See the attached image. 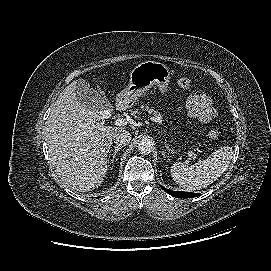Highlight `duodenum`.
Wrapping results in <instances>:
<instances>
[{
  "instance_id": "410a0bca",
  "label": "duodenum",
  "mask_w": 271,
  "mask_h": 271,
  "mask_svg": "<svg viewBox=\"0 0 271 271\" xmlns=\"http://www.w3.org/2000/svg\"><path fill=\"white\" fill-rule=\"evenodd\" d=\"M122 109H123V106H122V105H118V106H117V110H118V111H121Z\"/></svg>"
}]
</instances>
